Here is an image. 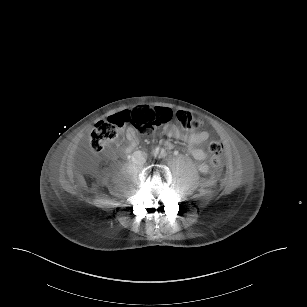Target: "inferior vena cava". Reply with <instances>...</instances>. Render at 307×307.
<instances>
[{"mask_svg":"<svg viewBox=\"0 0 307 307\" xmlns=\"http://www.w3.org/2000/svg\"><path fill=\"white\" fill-rule=\"evenodd\" d=\"M147 153L141 150H137L132 155V161L136 164H144L147 160Z\"/></svg>","mask_w":307,"mask_h":307,"instance_id":"602c4592","label":"inferior vena cava"}]
</instances>
